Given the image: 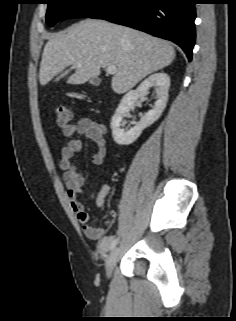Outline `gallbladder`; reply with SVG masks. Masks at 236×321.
Instances as JSON below:
<instances>
[{
  "label": "gallbladder",
  "instance_id": "bac80fb5",
  "mask_svg": "<svg viewBox=\"0 0 236 321\" xmlns=\"http://www.w3.org/2000/svg\"><path fill=\"white\" fill-rule=\"evenodd\" d=\"M98 83H99V80H98V79H94L92 84H93L94 86H96V85H98Z\"/></svg>",
  "mask_w": 236,
  "mask_h": 321
}]
</instances>
